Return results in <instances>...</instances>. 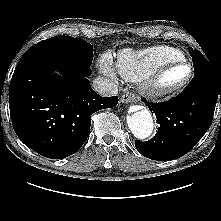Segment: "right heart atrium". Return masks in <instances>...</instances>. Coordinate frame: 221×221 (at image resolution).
<instances>
[{
    "label": "right heart atrium",
    "instance_id": "right-heart-atrium-1",
    "mask_svg": "<svg viewBox=\"0 0 221 221\" xmlns=\"http://www.w3.org/2000/svg\"><path fill=\"white\" fill-rule=\"evenodd\" d=\"M99 69L104 75H106L110 78L116 77L115 67H114L113 62L108 54H105L100 58Z\"/></svg>",
    "mask_w": 221,
    "mask_h": 221
}]
</instances>
